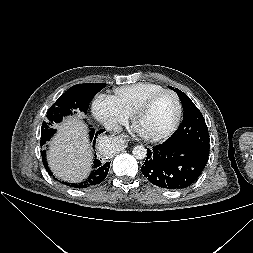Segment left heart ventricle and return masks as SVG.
Returning <instances> with one entry per match:
<instances>
[{
	"label": "left heart ventricle",
	"instance_id": "1",
	"mask_svg": "<svg viewBox=\"0 0 253 253\" xmlns=\"http://www.w3.org/2000/svg\"><path fill=\"white\" fill-rule=\"evenodd\" d=\"M176 103L171 94L160 96L139 118L136 128L143 135L158 136L169 129L176 117Z\"/></svg>",
	"mask_w": 253,
	"mask_h": 253
}]
</instances>
